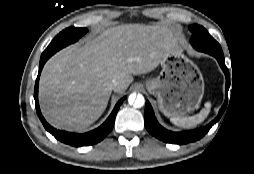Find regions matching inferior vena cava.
I'll return each mask as SVG.
<instances>
[{
	"mask_svg": "<svg viewBox=\"0 0 254 174\" xmlns=\"http://www.w3.org/2000/svg\"><path fill=\"white\" fill-rule=\"evenodd\" d=\"M119 86V82L116 79H113L110 83V89L111 90H116Z\"/></svg>",
	"mask_w": 254,
	"mask_h": 174,
	"instance_id": "1",
	"label": "inferior vena cava"
}]
</instances>
